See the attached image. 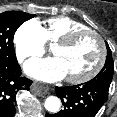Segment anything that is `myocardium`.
<instances>
[{
	"instance_id": "obj_1",
	"label": "myocardium",
	"mask_w": 117,
	"mask_h": 117,
	"mask_svg": "<svg viewBox=\"0 0 117 117\" xmlns=\"http://www.w3.org/2000/svg\"><path fill=\"white\" fill-rule=\"evenodd\" d=\"M86 34H90L96 38L100 48L99 58L96 65L87 73L77 77H66V80L72 84H81L88 82L94 77H96L98 73L102 70L106 61V46L104 40L97 31L90 28H84L66 34L65 36L58 39L53 45V48L55 46L67 47L73 44L78 38Z\"/></svg>"
}]
</instances>
